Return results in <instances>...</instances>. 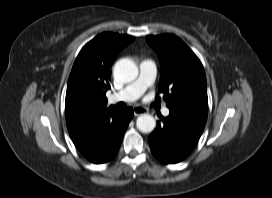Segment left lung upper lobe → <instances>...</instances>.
I'll use <instances>...</instances> for the list:
<instances>
[{"label": "left lung upper lobe", "mask_w": 272, "mask_h": 198, "mask_svg": "<svg viewBox=\"0 0 272 198\" xmlns=\"http://www.w3.org/2000/svg\"><path fill=\"white\" fill-rule=\"evenodd\" d=\"M160 60L159 93L169 109L207 117L208 97L204 68L193 51L172 34L146 36ZM160 100V97L157 96Z\"/></svg>", "instance_id": "obj_1"}]
</instances>
